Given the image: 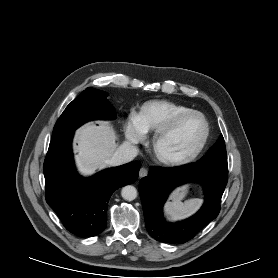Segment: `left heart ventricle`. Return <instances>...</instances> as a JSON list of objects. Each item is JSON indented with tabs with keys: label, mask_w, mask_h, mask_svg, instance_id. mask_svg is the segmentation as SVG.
I'll list each match as a JSON object with an SVG mask.
<instances>
[{
	"label": "left heart ventricle",
	"mask_w": 278,
	"mask_h": 278,
	"mask_svg": "<svg viewBox=\"0 0 278 278\" xmlns=\"http://www.w3.org/2000/svg\"><path fill=\"white\" fill-rule=\"evenodd\" d=\"M204 123L198 116L185 119L176 131L162 144V150L169 155H182L192 151L201 140Z\"/></svg>",
	"instance_id": "1"
}]
</instances>
